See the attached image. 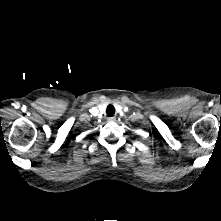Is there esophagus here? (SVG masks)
Segmentation results:
<instances>
[{
    "instance_id": "esophagus-1",
    "label": "esophagus",
    "mask_w": 221,
    "mask_h": 221,
    "mask_svg": "<svg viewBox=\"0 0 221 221\" xmlns=\"http://www.w3.org/2000/svg\"><path fill=\"white\" fill-rule=\"evenodd\" d=\"M108 120H109V121H115L116 118H115V117H109Z\"/></svg>"
}]
</instances>
